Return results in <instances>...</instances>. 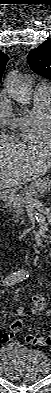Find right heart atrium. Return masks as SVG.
<instances>
[{"label": "right heart atrium", "mask_w": 51, "mask_h": 393, "mask_svg": "<svg viewBox=\"0 0 51 393\" xmlns=\"http://www.w3.org/2000/svg\"><path fill=\"white\" fill-rule=\"evenodd\" d=\"M0 123L2 126L17 124V120L14 118L12 110L7 102H3L0 106Z\"/></svg>", "instance_id": "d8ad5b80"}]
</instances>
